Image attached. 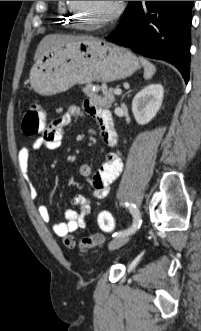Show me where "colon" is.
<instances>
[{"instance_id":"1","label":"colon","mask_w":201,"mask_h":331,"mask_svg":"<svg viewBox=\"0 0 201 331\" xmlns=\"http://www.w3.org/2000/svg\"><path fill=\"white\" fill-rule=\"evenodd\" d=\"M47 128L46 114L43 109L36 105H30L25 111L22 130L26 135L34 136L40 133H44ZM97 222L99 227L105 231L110 232L114 229V220L110 212L101 211L98 214ZM104 242V236L102 234H93L83 238L80 242V246L84 248H91Z\"/></svg>"}]
</instances>
